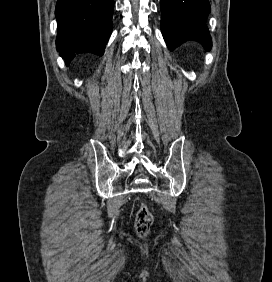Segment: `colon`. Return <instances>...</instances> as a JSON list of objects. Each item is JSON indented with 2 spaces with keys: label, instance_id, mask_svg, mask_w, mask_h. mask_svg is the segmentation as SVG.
<instances>
[{
  "label": "colon",
  "instance_id": "5ec220e1",
  "mask_svg": "<svg viewBox=\"0 0 272 282\" xmlns=\"http://www.w3.org/2000/svg\"><path fill=\"white\" fill-rule=\"evenodd\" d=\"M153 223V215L147 204L138 202L136 206V215L134 220V228L136 233L143 237L145 236Z\"/></svg>",
  "mask_w": 272,
  "mask_h": 282
}]
</instances>
